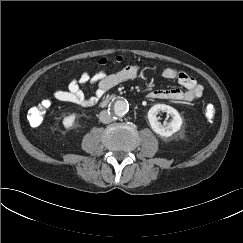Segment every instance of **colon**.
Returning a JSON list of instances; mask_svg holds the SVG:
<instances>
[{
  "label": "colon",
  "instance_id": "5ec220e1",
  "mask_svg": "<svg viewBox=\"0 0 243 243\" xmlns=\"http://www.w3.org/2000/svg\"><path fill=\"white\" fill-rule=\"evenodd\" d=\"M115 62L116 63L122 62V58L118 57L115 60ZM107 63H108V61L106 59H100L97 62V65L103 67V66H106ZM50 104H51L50 100H44L40 104H38L37 106H35L29 110L27 118H28V121L31 124V126L37 127L43 122L46 109L50 106ZM215 114H216V110H215L214 106L207 105L205 108L206 118L208 120H212L215 117Z\"/></svg>",
  "mask_w": 243,
  "mask_h": 243
}]
</instances>
